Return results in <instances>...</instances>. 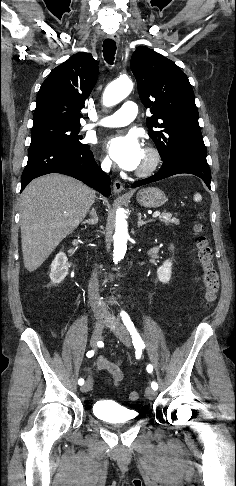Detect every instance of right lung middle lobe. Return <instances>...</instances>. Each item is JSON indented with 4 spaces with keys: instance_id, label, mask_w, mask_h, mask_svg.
Listing matches in <instances>:
<instances>
[{
    "instance_id": "right-lung-middle-lobe-1",
    "label": "right lung middle lobe",
    "mask_w": 236,
    "mask_h": 486,
    "mask_svg": "<svg viewBox=\"0 0 236 486\" xmlns=\"http://www.w3.org/2000/svg\"><path fill=\"white\" fill-rule=\"evenodd\" d=\"M79 125L46 123L32 127L30 146L55 145L60 147L84 148L80 142Z\"/></svg>"
}]
</instances>
